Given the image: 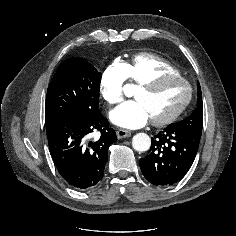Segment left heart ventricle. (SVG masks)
Segmentation results:
<instances>
[{
  "label": "left heart ventricle",
  "instance_id": "left-heart-ventricle-1",
  "mask_svg": "<svg viewBox=\"0 0 236 236\" xmlns=\"http://www.w3.org/2000/svg\"><path fill=\"white\" fill-rule=\"evenodd\" d=\"M187 96L185 84L179 80H168L154 89H137L136 99L146 106L150 118H161L177 109Z\"/></svg>",
  "mask_w": 236,
  "mask_h": 236
}]
</instances>
